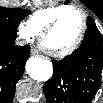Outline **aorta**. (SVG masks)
Masks as SVG:
<instances>
[{"label":"aorta","mask_w":103,"mask_h":103,"mask_svg":"<svg viewBox=\"0 0 103 103\" xmlns=\"http://www.w3.org/2000/svg\"><path fill=\"white\" fill-rule=\"evenodd\" d=\"M26 71L34 80L47 81L52 76L53 66L49 60L32 57L26 63Z\"/></svg>","instance_id":"aorta-1"}]
</instances>
